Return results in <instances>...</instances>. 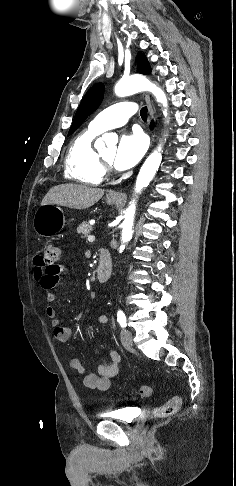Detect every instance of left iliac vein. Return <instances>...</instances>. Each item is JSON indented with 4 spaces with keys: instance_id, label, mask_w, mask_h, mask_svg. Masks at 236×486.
<instances>
[{
    "instance_id": "obj_1",
    "label": "left iliac vein",
    "mask_w": 236,
    "mask_h": 486,
    "mask_svg": "<svg viewBox=\"0 0 236 486\" xmlns=\"http://www.w3.org/2000/svg\"><path fill=\"white\" fill-rule=\"evenodd\" d=\"M120 337H121L122 345L126 349L132 348V346H133V335H132V333L129 330L123 329L121 331Z\"/></svg>"
}]
</instances>
